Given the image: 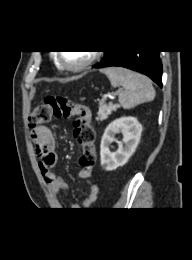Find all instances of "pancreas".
Here are the masks:
<instances>
[{
	"label": "pancreas",
	"mask_w": 192,
	"mask_h": 260,
	"mask_svg": "<svg viewBox=\"0 0 192 260\" xmlns=\"http://www.w3.org/2000/svg\"><path fill=\"white\" fill-rule=\"evenodd\" d=\"M117 105L109 104V105H100L97 113V120L103 121L108 118L113 111L117 110Z\"/></svg>",
	"instance_id": "obj_1"
}]
</instances>
